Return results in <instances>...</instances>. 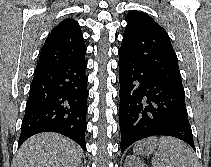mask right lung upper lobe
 <instances>
[{"label": "right lung upper lobe", "mask_w": 211, "mask_h": 167, "mask_svg": "<svg viewBox=\"0 0 211 167\" xmlns=\"http://www.w3.org/2000/svg\"><path fill=\"white\" fill-rule=\"evenodd\" d=\"M85 54L86 47L78 22L65 19L47 37L35 72L76 61Z\"/></svg>", "instance_id": "cb5924a9"}]
</instances>
